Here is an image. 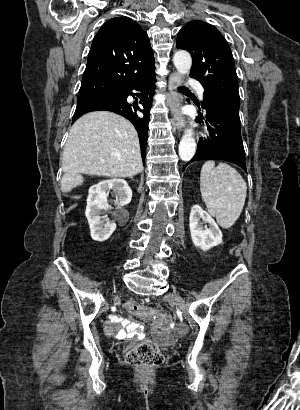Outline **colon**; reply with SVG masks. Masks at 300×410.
Returning a JSON list of instances; mask_svg holds the SVG:
<instances>
[{
  "mask_svg": "<svg viewBox=\"0 0 300 410\" xmlns=\"http://www.w3.org/2000/svg\"><path fill=\"white\" fill-rule=\"evenodd\" d=\"M129 311L144 316L143 322L148 325L164 327L172 320L171 312H160L159 308H149L134 301L126 304ZM163 356L158 346L152 341L143 342L131 350L126 355V362L138 369L147 370L162 363Z\"/></svg>",
  "mask_w": 300,
  "mask_h": 410,
  "instance_id": "5ec220e1",
  "label": "colon"
}]
</instances>
